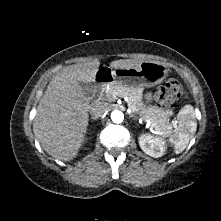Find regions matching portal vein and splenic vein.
<instances>
[{"instance_id": "portal-vein-and-splenic-vein-1", "label": "portal vein and splenic vein", "mask_w": 221, "mask_h": 221, "mask_svg": "<svg viewBox=\"0 0 221 221\" xmlns=\"http://www.w3.org/2000/svg\"><path fill=\"white\" fill-rule=\"evenodd\" d=\"M147 124L149 125V126H151V122L148 120L147 121ZM177 124V121H174V123H173V125H176Z\"/></svg>"}]
</instances>
